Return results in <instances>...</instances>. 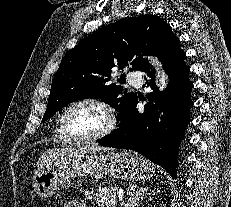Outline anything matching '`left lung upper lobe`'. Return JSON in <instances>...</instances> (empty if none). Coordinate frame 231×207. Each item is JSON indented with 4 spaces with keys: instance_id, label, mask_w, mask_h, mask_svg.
<instances>
[{
    "instance_id": "1",
    "label": "left lung upper lobe",
    "mask_w": 231,
    "mask_h": 207,
    "mask_svg": "<svg viewBox=\"0 0 231 207\" xmlns=\"http://www.w3.org/2000/svg\"><path fill=\"white\" fill-rule=\"evenodd\" d=\"M176 39L170 25L151 14L122 19L99 29L62 59L42 121L76 100L100 98L120 112L119 122L136 95L109 83L111 69L131 64L133 70L142 71L148 62L141 53L159 57Z\"/></svg>"
}]
</instances>
